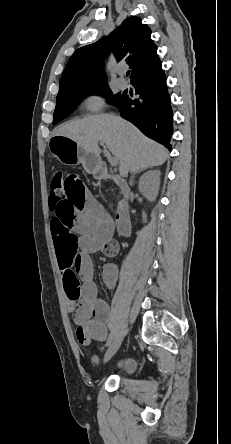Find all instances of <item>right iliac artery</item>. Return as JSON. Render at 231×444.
Instances as JSON below:
<instances>
[{
    "label": "right iliac artery",
    "instance_id": "82829eb1",
    "mask_svg": "<svg viewBox=\"0 0 231 444\" xmlns=\"http://www.w3.org/2000/svg\"><path fill=\"white\" fill-rule=\"evenodd\" d=\"M114 337H115V329L112 330V332H111V334H110V337H109V340H108L106 346H109V345L111 344V342H112V340H113Z\"/></svg>",
    "mask_w": 231,
    "mask_h": 444
}]
</instances>
